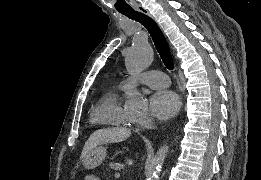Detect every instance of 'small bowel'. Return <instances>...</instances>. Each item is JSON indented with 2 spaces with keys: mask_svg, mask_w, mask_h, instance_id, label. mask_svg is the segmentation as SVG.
<instances>
[{
  "mask_svg": "<svg viewBox=\"0 0 261 180\" xmlns=\"http://www.w3.org/2000/svg\"><path fill=\"white\" fill-rule=\"evenodd\" d=\"M87 179L88 180H95V176L90 174V175L87 176Z\"/></svg>",
  "mask_w": 261,
  "mask_h": 180,
  "instance_id": "1",
  "label": "small bowel"
}]
</instances>
